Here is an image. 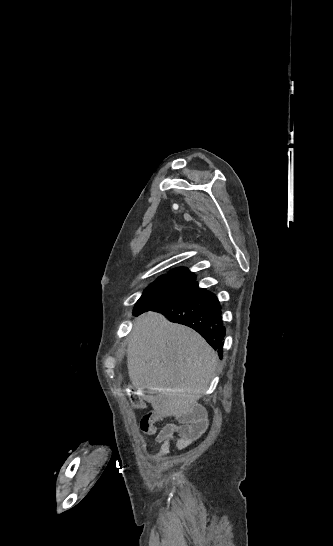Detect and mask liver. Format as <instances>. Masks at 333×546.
I'll return each instance as SVG.
<instances>
[{"mask_svg": "<svg viewBox=\"0 0 333 546\" xmlns=\"http://www.w3.org/2000/svg\"><path fill=\"white\" fill-rule=\"evenodd\" d=\"M218 357L194 330L147 312L134 321L127 353L132 385L161 416L183 415L197 403L213 377Z\"/></svg>", "mask_w": 333, "mask_h": 546, "instance_id": "6515ba94", "label": "liver"}]
</instances>
